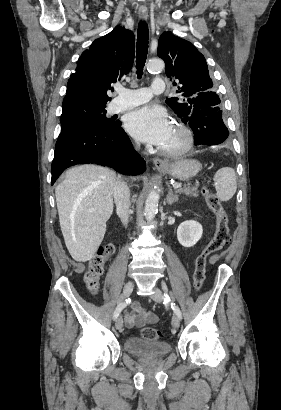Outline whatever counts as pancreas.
I'll return each instance as SVG.
<instances>
[{
  "label": "pancreas",
  "mask_w": 281,
  "mask_h": 410,
  "mask_svg": "<svg viewBox=\"0 0 281 410\" xmlns=\"http://www.w3.org/2000/svg\"><path fill=\"white\" fill-rule=\"evenodd\" d=\"M198 187L196 186H190V185H186L183 188H178L176 190V193L179 194H185L187 196H191V197H198Z\"/></svg>",
  "instance_id": "1"
}]
</instances>
